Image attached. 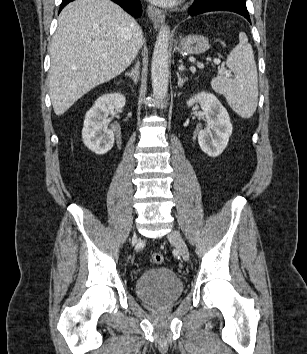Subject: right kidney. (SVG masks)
Returning a JSON list of instances; mask_svg holds the SVG:
<instances>
[{
  "label": "right kidney",
  "mask_w": 307,
  "mask_h": 354,
  "mask_svg": "<svg viewBox=\"0 0 307 354\" xmlns=\"http://www.w3.org/2000/svg\"><path fill=\"white\" fill-rule=\"evenodd\" d=\"M126 99L123 94L111 93L99 97L90 108L84 120L82 139L85 146L97 155H104L114 145V133L106 126L109 113L125 106Z\"/></svg>",
  "instance_id": "1"
}]
</instances>
